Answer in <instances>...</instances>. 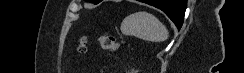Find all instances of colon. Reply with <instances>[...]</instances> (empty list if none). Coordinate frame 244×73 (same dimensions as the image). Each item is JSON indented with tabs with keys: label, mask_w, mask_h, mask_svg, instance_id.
<instances>
[{
	"label": "colon",
	"mask_w": 244,
	"mask_h": 73,
	"mask_svg": "<svg viewBox=\"0 0 244 73\" xmlns=\"http://www.w3.org/2000/svg\"><path fill=\"white\" fill-rule=\"evenodd\" d=\"M100 48L106 52H114L118 48V40L112 35L102 34L98 37ZM86 38L82 37L78 43L77 50L80 53L85 52Z\"/></svg>",
	"instance_id": "colon-1"
}]
</instances>
